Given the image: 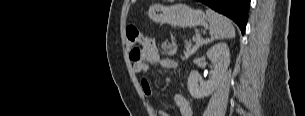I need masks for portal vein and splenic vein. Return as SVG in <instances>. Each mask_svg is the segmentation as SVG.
I'll return each instance as SVG.
<instances>
[{
	"instance_id": "1",
	"label": "portal vein and splenic vein",
	"mask_w": 305,
	"mask_h": 116,
	"mask_svg": "<svg viewBox=\"0 0 305 116\" xmlns=\"http://www.w3.org/2000/svg\"><path fill=\"white\" fill-rule=\"evenodd\" d=\"M196 37H197V39H198V41L196 42V45H198V44H200L202 41H201V39H200L199 34H197Z\"/></svg>"
}]
</instances>
